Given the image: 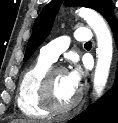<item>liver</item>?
<instances>
[{
  "instance_id": "6515ba94",
  "label": "liver",
  "mask_w": 118,
  "mask_h": 123,
  "mask_svg": "<svg viewBox=\"0 0 118 123\" xmlns=\"http://www.w3.org/2000/svg\"><path fill=\"white\" fill-rule=\"evenodd\" d=\"M11 123H36V122H33L31 120H13Z\"/></svg>"
}]
</instances>
